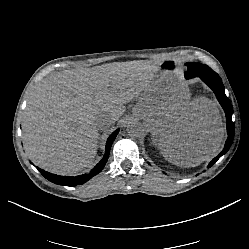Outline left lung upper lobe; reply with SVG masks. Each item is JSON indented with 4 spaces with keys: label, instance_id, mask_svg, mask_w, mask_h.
<instances>
[{
    "label": "left lung upper lobe",
    "instance_id": "left-lung-upper-lobe-1",
    "mask_svg": "<svg viewBox=\"0 0 249 249\" xmlns=\"http://www.w3.org/2000/svg\"><path fill=\"white\" fill-rule=\"evenodd\" d=\"M186 65L188 70L185 72V75L189 77L208 76L215 73L210 67L201 63L189 62Z\"/></svg>",
    "mask_w": 249,
    "mask_h": 249
}]
</instances>
